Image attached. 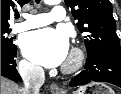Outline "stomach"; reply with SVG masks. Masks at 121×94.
<instances>
[{
  "label": "stomach",
  "instance_id": "stomach-1",
  "mask_svg": "<svg viewBox=\"0 0 121 94\" xmlns=\"http://www.w3.org/2000/svg\"><path fill=\"white\" fill-rule=\"evenodd\" d=\"M88 92V93H87ZM73 94H115L114 90L103 83H91L80 87Z\"/></svg>",
  "mask_w": 121,
  "mask_h": 94
}]
</instances>
